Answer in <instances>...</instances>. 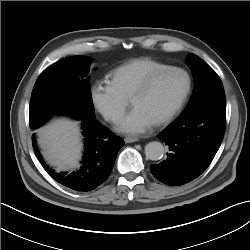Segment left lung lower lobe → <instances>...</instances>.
Listing matches in <instances>:
<instances>
[{"label": "left lung lower lobe", "mask_w": 250, "mask_h": 250, "mask_svg": "<svg viewBox=\"0 0 250 250\" xmlns=\"http://www.w3.org/2000/svg\"><path fill=\"white\" fill-rule=\"evenodd\" d=\"M225 128V95L182 114L158 134L157 137L165 142L169 151L165 160L150 166L151 173L171 186L194 180L211 163L221 145Z\"/></svg>", "instance_id": "left-lung-lower-lobe-1"}]
</instances>
